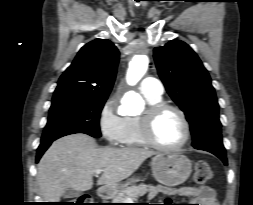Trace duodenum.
I'll use <instances>...</instances> for the list:
<instances>
[{
  "mask_svg": "<svg viewBox=\"0 0 253 205\" xmlns=\"http://www.w3.org/2000/svg\"><path fill=\"white\" fill-rule=\"evenodd\" d=\"M109 194H110V191H109V189L106 188V187H101V188H99V190H98V195H99V197H101V198H106V197L109 196Z\"/></svg>",
  "mask_w": 253,
  "mask_h": 205,
  "instance_id": "duodenum-1",
  "label": "duodenum"
}]
</instances>
